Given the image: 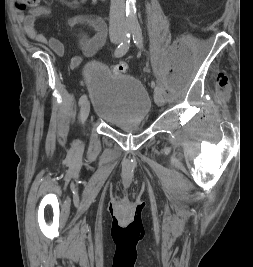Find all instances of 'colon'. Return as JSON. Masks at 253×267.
Wrapping results in <instances>:
<instances>
[{"label":"colon","mask_w":253,"mask_h":267,"mask_svg":"<svg viewBox=\"0 0 253 267\" xmlns=\"http://www.w3.org/2000/svg\"><path fill=\"white\" fill-rule=\"evenodd\" d=\"M39 0H16L15 4L18 9H25L29 7H35ZM127 64L125 62H119L113 66V71L116 73H125L127 71Z\"/></svg>","instance_id":"5ec220e1"}]
</instances>
